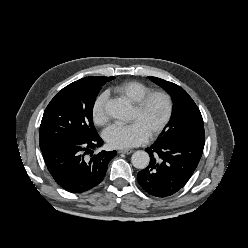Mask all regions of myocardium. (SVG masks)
Returning <instances> with one entry per match:
<instances>
[{"instance_id":"f54148a6","label":"myocardium","mask_w":248,"mask_h":248,"mask_svg":"<svg viewBox=\"0 0 248 248\" xmlns=\"http://www.w3.org/2000/svg\"><path fill=\"white\" fill-rule=\"evenodd\" d=\"M154 97H160L164 100L165 113H164V116L161 119V121L149 133L150 137H156L164 130V128L169 123L171 116H172V113H173V99L168 92L161 90V89L150 90L149 92H147L144 96H142L135 103V108L140 112L144 111L146 109V107L148 106L149 102Z\"/></svg>"}]
</instances>
